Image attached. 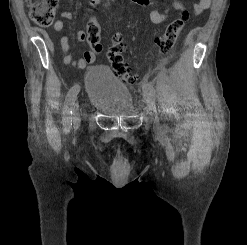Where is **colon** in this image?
Instances as JSON below:
<instances>
[{
  "label": "colon",
  "mask_w": 247,
  "mask_h": 245,
  "mask_svg": "<svg viewBox=\"0 0 247 245\" xmlns=\"http://www.w3.org/2000/svg\"><path fill=\"white\" fill-rule=\"evenodd\" d=\"M58 1L59 0H26L30 18L40 26H50L55 17ZM186 21L187 14L183 13L172 20L167 25L165 31L156 39L159 53L163 58H169L174 53L177 39ZM86 38L94 52L99 53L102 51L100 26L94 16H91L87 22ZM126 51V45L116 38L108 49L107 59L111 68L124 82L134 85L138 83L139 76L126 64L124 59Z\"/></svg>",
  "instance_id": "colon-1"
}]
</instances>
